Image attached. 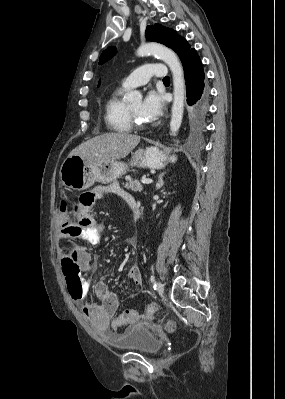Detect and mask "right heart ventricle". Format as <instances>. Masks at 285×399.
Segmentation results:
<instances>
[{
	"label": "right heart ventricle",
	"instance_id": "obj_1",
	"mask_svg": "<svg viewBox=\"0 0 285 399\" xmlns=\"http://www.w3.org/2000/svg\"><path fill=\"white\" fill-rule=\"evenodd\" d=\"M124 90V87L115 90L105 102L106 125L118 133L129 132L132 129L128 107L121 99Z\"/></svg>",
	"mask_w": 285,
	"mask_h": 399
}]
</instances>
